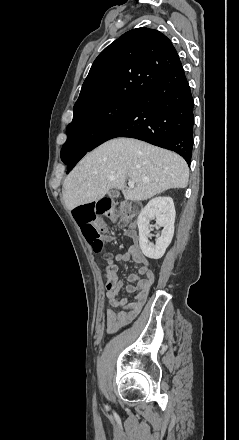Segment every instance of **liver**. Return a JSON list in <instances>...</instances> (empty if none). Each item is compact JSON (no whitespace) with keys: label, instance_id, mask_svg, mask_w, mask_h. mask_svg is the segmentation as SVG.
I'll list each match as a JSON object with an SVG mask.
<instances>
[{"label":"liver","instance_id":"6515ba94","mask_svg":"<svg viewBox=\"0 0 239 440\" xmlns=\"http://www.w3.org/2000/svg\"><path fill=\"white\" fill-rule=\"evenodd\" d=\"M146 178V180H145ZM126 180L135 188L125 190ZM189 168L178 154L133 138L105 142L68 174L63 196L68 210L98 202L109 190H122L125 200H148L169 188H186Z\"/></svg>","mask_w":239,"mask_h":440}]
</instances>
